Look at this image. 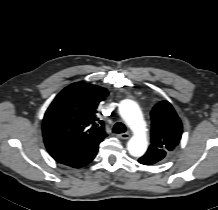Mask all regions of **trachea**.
Masks as SVG:
<instances>
[{
    "label": "trachea",
    "mask_w": 218,
    "mask_h": 210,
    "mask_svg": "<svg viewBox=\"0 0 218 210\" xmlns=\"http://www.w3.org/2000/svg\"><path fill=\"white\" fill-rule=\"evenodd\" d=\"M125 131H126V127L121 122H117L113 127L114 133L120 134V133H124Z\"/></svg>",
    "instance_id": "trachea-1"
}]
</instances>
